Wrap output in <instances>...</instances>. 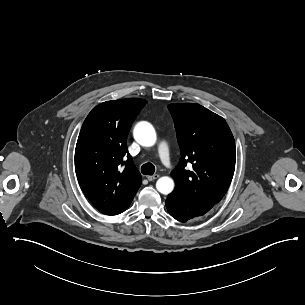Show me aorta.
<instances>
[{
	"label": "aorta",
	"instance_id": "obj_1",
	"mask_svg": "<svg viewBox=\"0 0 305 305\" xmlns=\"http://www.w3.org/2000/svg\"><path fill=\"white\" fill-rule=\"evenodd\" d=\"M133 135L142 146L151 147L156 143L155 129L148 122H139L134 128ZM156 188L162 194H170L174 189V181L168 176H163L157 180Z\"/></svg>",
	"mask_w": 305,
	"mask_h": 305
}]
</instances>
